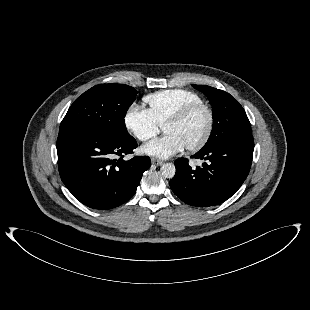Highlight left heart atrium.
Wrapping results in <instances>:
<instances>
[{"instance_id": "39dd6f15", "label": "left heart atrium", "mask_w": 310, "mask_h": 310, "mask_svg": "<svg viewBox=\"0 0 310 310\" xmlns=\"http://www.w3.org/2000/svg\"><path fill=\"white\" fill-rule=\"evenodd\" d=\"M184 147L179 137L174 134H167L148 142L141 150L149 156L167 159L183 150Z\"/></svg>"}]
</instances>
